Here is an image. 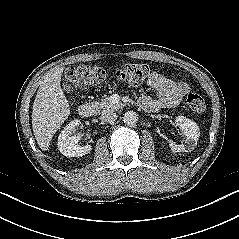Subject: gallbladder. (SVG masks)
Here are the masks:
<instances>
[{
  "instance_id": "bac80fb5",
  "label": "gallbladder",
  "mask_w": 239,
  "mask_h": 239,
  "mask_svg": "<svg viewBox=\"0 0 239 239\" xmlns=\"http://www.w3.org/2000/svg\"><path fill=\"white\" fill-rule=\"evenodd\" d=\"M64 89H65V91H67L68 93L72 91V88H71V86H70L69 84H65V85H64Z\"/></svg>"
}]
</instances>
